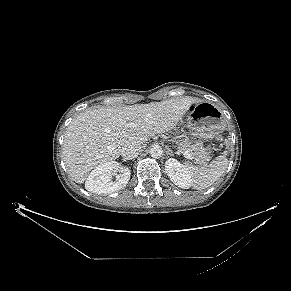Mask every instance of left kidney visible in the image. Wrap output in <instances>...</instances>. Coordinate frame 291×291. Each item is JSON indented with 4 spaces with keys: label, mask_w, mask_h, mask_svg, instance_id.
Segmentation results:
<instances>
[{
    "label": "left kidney",
    "mask_w": 291,
    "mask_h": 291,
    "mask_svg": "<svg viewBox=\"0 0 291 291\" xmlns=\"http://www.w3.org/2000/svg\"><path fill=\"white\" fill-rule=\"evenodd\" d=\"M165 170L170 180L178 187L188 189L192 185L190 170L178 160L170 158L165 162Z\"/></svg>",
    "instance_id": "obj_1"
}]
</instances>
